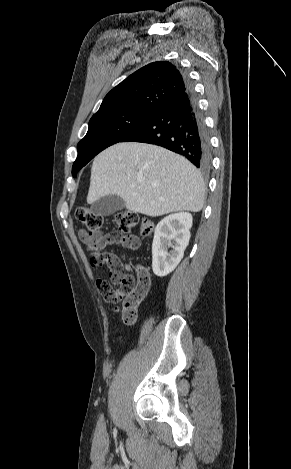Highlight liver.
Instances as JSON below:
<instances>
[{
    "instance_id": "1",
    "label": "liver",
    "mask_w": 291,
    "mask_h": 469,
    "mask_svg": "<svg viewBox=\"0 0 291 469\" xmlns=\"http://www.w3.org/2000/svg\"><path fill=\"white\" fill-rule=\"evenodd\" d=\"M205 191L201 174L184 157L151 144L123 142L94 159L87 203L114 194L129 211L156 217L201 211Z\"/></svg>"
}]
</instances>
